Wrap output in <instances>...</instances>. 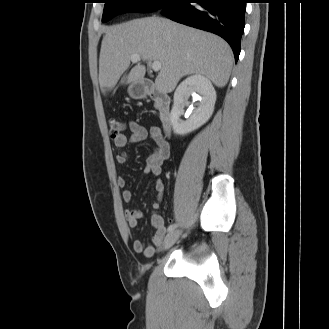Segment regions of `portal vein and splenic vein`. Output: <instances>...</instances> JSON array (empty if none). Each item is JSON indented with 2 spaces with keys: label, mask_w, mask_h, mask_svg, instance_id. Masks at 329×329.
<instances>
[{
  "label": "portal vein and splenic vein",
  "mask_w": 329,
  "mask_h": 329,
  "mask_svg": "<svg viewBox=\"0 0 329 329\" xmlns=\"http://www.w3.org/2000/svg\"><path fill=\"white\" fill-rule=\"evenodd\" d=\"M130 59L133 63H137L138 61H140V55L134 54V55L131 56ZM149 66L155 72H157L161 69V63L159 61L149 62Z\"/></svg>",
  "instance_id": "portal-vein-and-splenic-vein-1"
}]
</instances>
